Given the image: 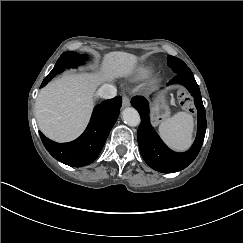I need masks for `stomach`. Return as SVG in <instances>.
Listing matches in <instances>:
<instances>
[{"instance_id": "0dacf381", "label": "stomach", "mask_w": 243, "mask_h": 243, "mask_svg": "<svg viewBox=\"0 0 243 243\" xmlns=\"http://www.w3.org/2000/svg\"><path fill=\"white\" fill-rule=\"evenodd\" d=\"M170 115L168 100L165 96H159L154 103L151 104V119L154 124H159Z\"/></svg>"}]
</instances>
